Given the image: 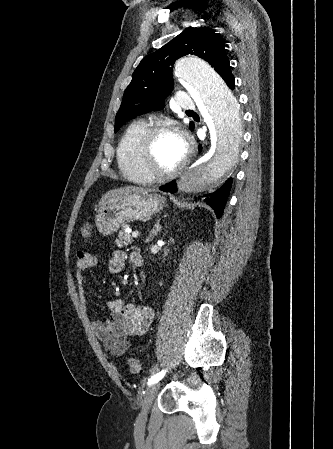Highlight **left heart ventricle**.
Listing matches in <instances>:
<instances>
[{"instance_id": "left-heart-ventricle-1", "label": "left heart ventricle", "mask_w": 333, "mask_h": 449, "mask_svg": "<svg viewBox=\"0 0 333 449\" xmlns=\"http://www.w3.org/2000/svg\"><path fill=\"white\" fill-rule=\"evenodd\" d=\"M185 153L179 135L162 132L154 142L153 165L158 170L170 171L181 162Z\"/></svg>"}]
</instances>
